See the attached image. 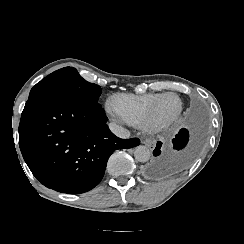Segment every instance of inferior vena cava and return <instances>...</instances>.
<instances>
[{
	"instance_id": "obj_1",
	"label": "inferior vena cava",
	"mask_w": 244,
	"mask_h": 244,
	"mask_svg": "<svg viewBox=\"0 0 244 244\" xmlns=\"http://www.w3.org/2000/svg\"><path fill=\"white\" fill-rule=\"evenodd\" d=\"M109 129L111 130L112 133H114L116 136L120 138H129L130 136L129 130L117 125L114 122L109 123Z\"/></svg>"
}]
</instances>
